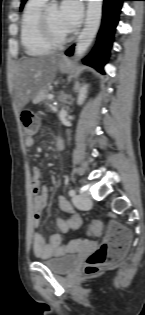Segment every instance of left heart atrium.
<instances>
[{
	"label": "left heart atrium",
	"mask_w": 145,
	"mask_h": 315,
	"mask_svg": "<svg viewBox=\"0 0 145 315\" xmlns=\"http://www.w3.org/2000/svg\"><path fill=\"white\" fill-rule=\"evenodd\" d=\"M59 12L66 27L71 32L80 23L83 12L82 4L79 0H66L62 2Z\"/></svg>",
	"instance_id": "obj_1"
}]
</instances>
